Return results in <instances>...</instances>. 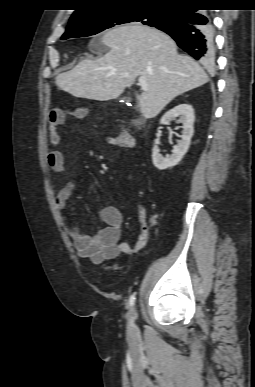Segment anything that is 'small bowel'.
<instances>
[{
    "mask_svg": "<svg viewBox=\"0 0 255 387\" xmlns=\"http://www.w3.org/2000/svg\"><path fill=\"white\" fill-rule=\"evenodd\" d=\"M64 121L61 111H54L50 117V142L53 147L60 143L57 126ZM49 166L55 171L63 170V156L60 151L53 149L48 156ZM78 185L75 180H70L57 191L55 205L60 213L63 226L72 239L78 255L88 258L93 263H101L114 259L121 254H132L140 251L147 243L148 233L142 230L136 242L131 245L121 242V229L124 221L122 212L113 206H107L100 210L99 216L105 227L95 233L87 234L80 230L77 224L69 217L68 204Z\"/></svg>",
    "mask_w": 255,
    "mask_h": 387,
    "instance_id": "small-bowel-1",
    "label": "small bowel"
}]
</instances>
